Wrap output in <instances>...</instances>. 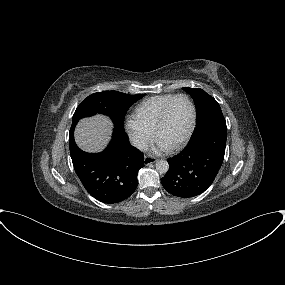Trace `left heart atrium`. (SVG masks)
Here are the masks:
<instances>
[{
    "mask_svg": "<svg viewBox=\"0 0 285 285\" xmlns=\"http://www.w3.org/2000/svg\"><path fill=\"white\" fill-rule=\"evenodd\" d=\"M169 148L170 147L166 143H164L161 139L157 138L153 146V151L159 154L167 151Z\"/></svg>",
    "mask_w": 285,
    "mask_h": 285,
    "instance_id": "39dd6f15",
    "label": "left heart atrium"
}]
</instances>
